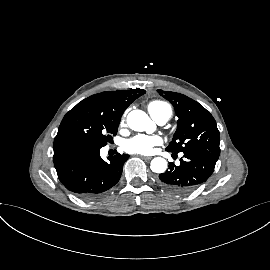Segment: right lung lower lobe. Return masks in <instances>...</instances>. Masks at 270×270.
I'll return each mask as SVG.
<instances>
[{
  "label": "right lung lower lobe",
  "mask_w": 270,
  "mask_h": 270,
  "mask_svg": "<svg viewBox=\"0 0 270 270\" xmlns=\"http://www.w3.org/2000/svg\"><path fill=\"white\" fill-rule=\"evenodd\" d=\"M54 165L61 183L77 196L94 198L119 181L129 155L104 161L100 147L79 140L54 141Z\"/></svg>",
  "instance_id": "98d812e1"
}]
</instances>
